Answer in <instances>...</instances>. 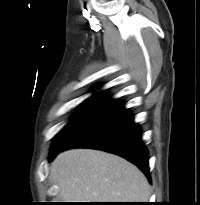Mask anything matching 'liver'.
Segmentation results:
<instances>
[{"instance_id":"1","label":"liver","mask_w":200,"mask_h":205,"mask_svg":"<svg viewBox=\"0 0 200 205\" xmlns=\"http://www.w3.org/2000/svg\"><path fill=\"white\" fill-rule=\"evenodd\" d=\"M64 202H147L144 174L125 159L99 150L61 152L50 167Z\"/></svg>"}]
</instances>
